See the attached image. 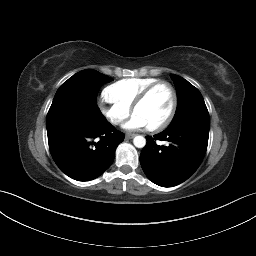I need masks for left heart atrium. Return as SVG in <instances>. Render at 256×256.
Masks as SVG:
<instances>
[{"mask_svg": "<svg viewBox=\"0 0 256 256\" xmlns=\"http://www.w3.org/2000/svg\"><path fill=\"white\" fill-rule=\"evenodd\" d=\"M147 127L145 120L136 113H133L130 119L123 125L126 131H138Z\"/></svg>", "mask_w": 256, "mask_h": 256, "instance_id": "1", "label": "left heart atrium"}]
</instances>
